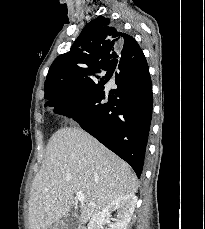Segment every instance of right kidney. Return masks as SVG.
Masks as SVG:
<instances>
[{"mask_svg":"<svg viewBox=\"0 0 205 229\" xmlns=\"http://www.w3.org/2000/svg\"><path fill=\"white\" fill-rule=\"evenodd\" d=\"M136 204L137 197L134 194L117 198L91 219L88 229H100L105 223H108V229H127ZM115 210H117L116 218H112V212Z\"/></svg>","mask_w":205,"mask_h":229,"instance_id":"1","label":"right kidney"}]
</instances>
